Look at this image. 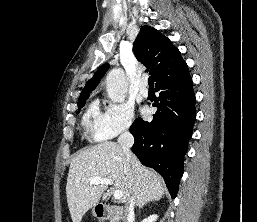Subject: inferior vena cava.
<instances>
[{"label": "inferior vena cava", "instance_id": "602c4592", "mask_svg": "<svg viewBox=\"0 0 257 222\" xmlns=\"http://www.w3.org/2000/svg\"><path fill=\"white\" fill-rule=\"evenodd\" d=\"M118 144L121 146L123 153L127 159L128 162L132 161V153L130 151V148L134 144V137L129 132L128 128H126L119 136L118 138ZM134 205H135V197L133 196L129 202L126 203L125 206V215L131 214L134 211Z\"/></svg>", "mask_w": 257, "mask_h": 222}]
</instances>
